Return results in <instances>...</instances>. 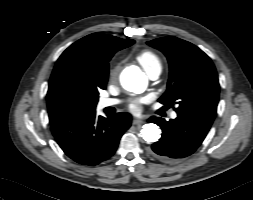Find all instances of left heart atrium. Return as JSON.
Here are the masks:
<instances>
[{"label": "left heart atrium", "instance_id": "39dd6f15", "mask_svg": "<svg viewBox=\"0 0 253 200\" xmlns=\"http://www.w3.org/2000/svg\"><path fill=\"white\" fill-rule=\"evenodd\" d=\"M139 109H140V101H135V102H133L131 105H130V110L132 111V112H138L139 111Z\"/></svg>", "mask_w": 253, "mask_h": 200}]
</instances>
